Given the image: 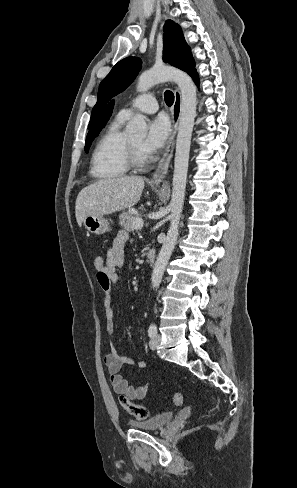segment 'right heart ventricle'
<instances>
[{"mask_svg": "<svg viewBox=\"0 0 297 488\" xmlns=\"http://www.w3.org/2000/svg\"><path fill=\"white\" fill-rule=\"evenodd\" d=\"M124 120L116 117L95 144L91 158V174L95 179L114 180L129 170V139L121 130Z\"/></svg>", "mask_w": 297, "mask_h": 488, "instance_id": "obj_1", "label": "right heart ventricle"}]
</instances>
